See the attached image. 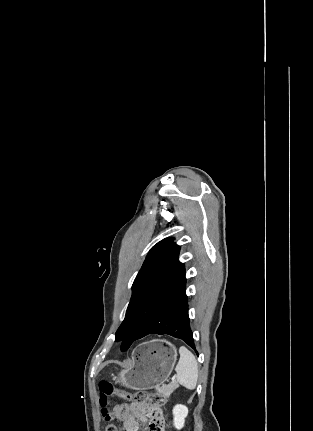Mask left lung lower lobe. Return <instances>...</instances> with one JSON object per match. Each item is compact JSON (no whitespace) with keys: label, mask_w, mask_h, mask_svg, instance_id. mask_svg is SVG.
Here are the masks:
<instances>
[{"label":"left lung lower lobe","mask_w":313,"mask_h":431,"mask_svg":"<svg viewBox=\"0 0 313 431\" xmlns=\"http://www.w3.org/2000/svg\"><path fill=\"white\" fill-rule=\"evenodd\" d=\"M149 334H168L186 342L195 349L193 333L189 325L188 304L185 289L165 304L140 332L137 339ZM197 355L198 352L196 351Z\"/></svg>","instance_id":"1"}]
</instances>
